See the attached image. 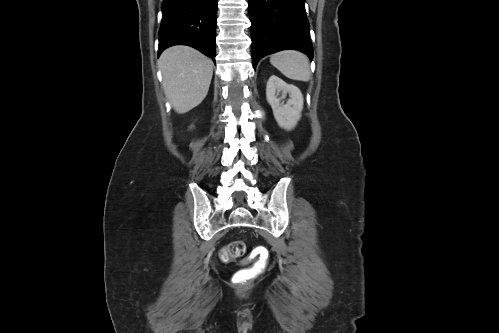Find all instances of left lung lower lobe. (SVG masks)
<instances>
[{
	"label": "left lung lower lobe",
	"instance_id": "left-lung-lower-lobe-1",
	"mask_svg": "<svg viewBox=\"0 0 499 333\" xmlns=\"http://www.w3.org/2000/svg\"><path fill=\"white\" fill-rule=\"evenodd\" d=\"M305 0H249L252 61L294 49L313 58Z\"/></svg>",
	"mask_w": 499,
	"mask_h": 333
}]
</instances>
